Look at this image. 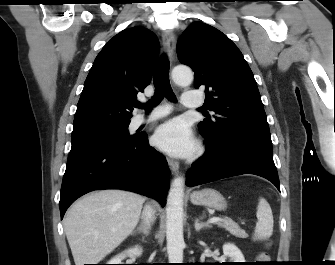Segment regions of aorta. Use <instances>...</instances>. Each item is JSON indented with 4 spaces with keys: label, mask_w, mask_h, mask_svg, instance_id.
Instances as JSON below:
<instances>
[{
    "label": "aorta",
    "mask_w": 335,
    "mask_h": 265,
    "mask_svg": "<svg viewBox=\"0 0 335 265\" xmlns=\"http://www.w3.org/2000/svg\"><path fill=\"white\" fill-rule=\"evenodd\" d=\"M172 79L177 85L187 86L193 81V72L189 67L176 66L172 70ZM183 197L184 179L176 177L170 186L166 207V241L169 263H182L183 237Z\"/></svg>",
    "instance_id": "obj_1"
}]
</instances>
